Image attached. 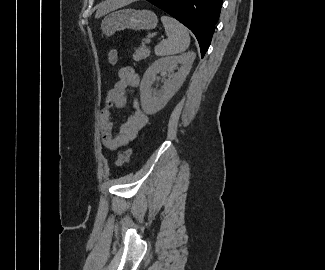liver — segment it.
<instances>
[{
	"mask_svg": "<svg viewBox=\"0 0 325 270\" xmlns=\"http://www.w3.org/2000/svg\"><path fill=\"white\" fill-rule=\"evenodd\" d=\"M130 1L131 0H107L102 2L97 7L95 18L98 19L107 13L126 5Z\"/></svg>",
	"mask_w": 325,
	"mask_h": 270,
	"instance_id": "1",
	"label": "liver"
}]
</instances>
